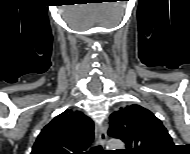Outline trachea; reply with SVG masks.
<instances>
[{
  "label": "trachea",
  "mask_w": 190,
  "mask_h": 154,
  "mask_svg": "<svg viewBox=\"0 0 190 154\" xmlns=\"http://www.w3.org/2000/svg\"><path fill=\"white\" fill-rule=\"evenodd\" d=\"M90 152L92 154H101L103 150H102V147L99 145V146L91 148Z\"/></svg>",
  "instance_id": "1"
}]
</instances>
